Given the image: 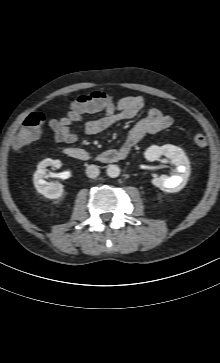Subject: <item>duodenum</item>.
I'll return each mask as SVG.
<instances>
[{"instance_id":"duodenum-1","label":"duodenum","mask_w":220,"mask_h":363,"mask_svg":"<svg viewBox=\"0 0 220 363\" xmlns=\"http://www.w3.org/2000/svg\"><path fill=\"white\" fill-rule=\"evenodd\" d=\"M129 149L124 148L123 146L117 150H105L104 152L93 156L88 151L81 148H66L64 150V154L70 158L88 162L91 160H95L100 163L112 164L125 159L129 154Z\"/></svg>"}]
</instances>
